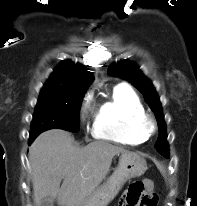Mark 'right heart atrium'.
<instances>
[{
  "mask_svg": "<svg viewBox=\"0 0 197 206\" xmlns=\"http://www.w3.org/2000/svg\"><path fill=\"white\" fill-rule=\"evenodd\" d=\"M89 110H90V107H89L88 104H85V105L82 107V110H81V117H82L83 120L86 119Z\"/></svg>",
  "mask_w": 197,
  "mask_h": 206,
  "instance_id": "1",
  "label": "right heart atrium"
}]
</instances>
